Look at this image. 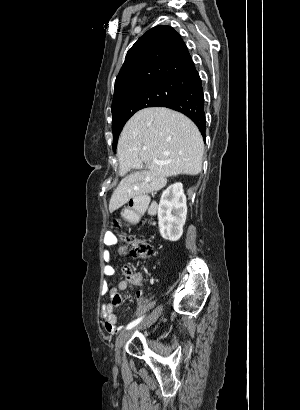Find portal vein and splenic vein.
<instances>
[{"label":"portal vein and splenic vein","mask_w":300,"mask_h":410,"mask_svg":"<svg viewBox=\"0 0 300 410\" xmlns=\"http://www.w3.org/2000/svg\"><path fill=\"white\" fill-rule=\"evenodd\" d=\"M153 163H156V164H164V162L158 161V160H153Z\"/></svg>","instance_id":"obj_1"}]
</instances>
